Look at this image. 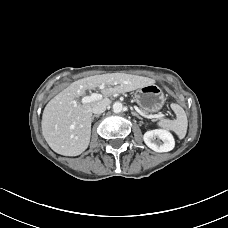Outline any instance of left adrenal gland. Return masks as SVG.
Wrapping results in <instances>:
<instances>
[{
    "mask_svg": "<svg viewBox=\"0 0 228 228\" xmlns=\"http://www.w3.org/2000/svg\"><path fill=\"white\" fill-rule=\"evenodd\" d=\"M132 115H134V116H136V117H138V118H141V117L139 116V114H138L137 112H135L133 109H132Z\"/></svg>",
    "mask_w": 228,
    "mask_h": 228,
    "instance_id": "obj_1",
    "label": "left adrenal gland"
}]
</instances>
